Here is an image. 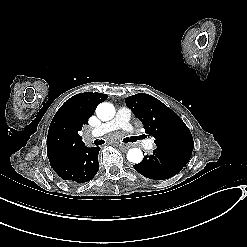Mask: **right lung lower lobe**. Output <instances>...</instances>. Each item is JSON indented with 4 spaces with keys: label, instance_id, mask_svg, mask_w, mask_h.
Returning <instances> with one entry per match:
<instances>
[{
    "label": "right lung lower lobe",
    "instance_id": "98d812e1",
    "mask_svg": "<svg viewBox=\"0 0 247 247\" xmlns=\"http://www.w3.org/2000/svg\"><path fill=\"white\" fill-rule=\"evenodd\" d=\"M99 150L100 147H81L63 163L52 168L63 180L77 183L90 181L99 170Z\"/></svg>",
    "mask_w": 247,
    "mask_h": 247
}]
</instances>
